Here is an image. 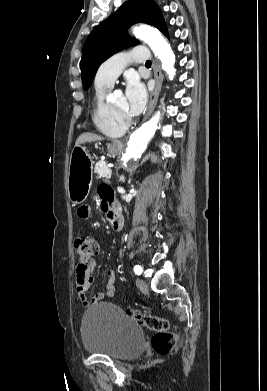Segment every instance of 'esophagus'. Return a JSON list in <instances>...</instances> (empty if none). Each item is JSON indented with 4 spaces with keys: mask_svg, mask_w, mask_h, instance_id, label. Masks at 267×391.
Returning a JSON list of instances; mask_svg holds the SVG:
<instances>
[{
    "mask_svg": "<svg viewBox=\"0 0 267 391\" xmlns=\"http://www.w3.org/2000/svg\"><path fill=\"white\" fill-rule=\"evenodd\" d=\"M154 75H155L156 85H155L153 92L150 95L149 108H148V111H147V114H146L144 120H146L151 115L152 111L154 110V107L156 105V102H157V99H158V96H159V93H160L161 87H162L163 75H162V72H161L159 65L156 62H154Z\"/></svg>",
    "mask_w": 267,
    "mask_h": 391,
    "instance_id": "esophagus-1",
    "label": "esophagus"
}]
</instances>
